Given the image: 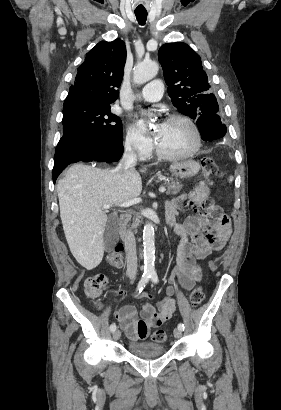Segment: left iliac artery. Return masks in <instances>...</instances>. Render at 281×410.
Listing matches in <instances>:
<instances>
[{
  "instance_id": "left-iliac-artery-1",
  "label": "left iliac artery",
  "mask_w": 281,
  "mask_h": 410,
  "mask_svg": "<svg viewBox=\"0 0 281 410\" xmlns=\"http://www.w3.org/2000/svg\"><path fill=\"white\" fill-rule=\"evenodd\" d=\"M150 278H151L152 282L158 283V276H157V273H156V272H152L151 275H150ZM178 329H180L181 331H183V330H184V324L179 323V324H178Z\"/></svg>"
}]
</instances>
